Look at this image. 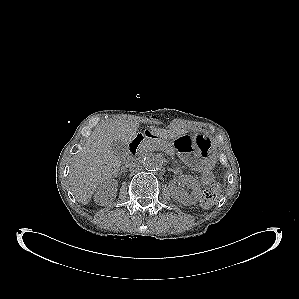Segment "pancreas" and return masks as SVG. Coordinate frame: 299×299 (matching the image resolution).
Returning a JSON list of instances; mask_svg holds the SVG:
<instances>
[{
  "instance_id": "cf45deb5",
  "label": "pancreas",
  "mask_w": 299,
  "mask_h": 299,
  "mask_svg": "<svg viewBox=\"0 0 299 299\" xmlns=\"http://www.w3.org/2000/svg\"><path fill=\"white\" fill-rule=\"evenodd\" d=\"M143 150L145 152L161 150L167 154H173L174 148L170 143L161 140H148L144 143Z\"/></svg>"
}]
</instances>
